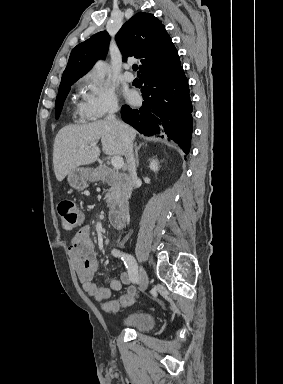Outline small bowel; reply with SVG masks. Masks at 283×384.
Returning a JSON list of instances; mask_svg holds the SVG:
<instances>
[{"label":"small bowel","instance_id":"c3829d8e","mask_svg":"<svg viewBox=\"0 0 283 384\" xmlns=\"http://www.w3.org/2000/svg\"><path fill=\"white\" fill-rule=\"evenodd\" d=\"M69 254L74 271L86 294L98 302L111 298L113 292L120 291L124 285H130L128 271L120 274L119 279H111L107 285L96 283L95 274L100 268L99 253L91 239V227L83 226L70 240Z\"/></svg>","mask_w":283,"mask_h":384}]
</instances>
